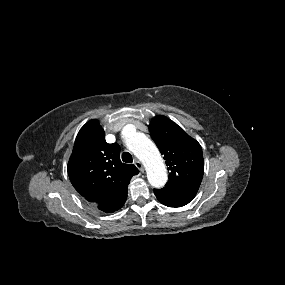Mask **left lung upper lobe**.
Here are the masks:
<instances>
[{
	"label": "left lung upper lobe",
	"instance_id": "left-lung-upper-lobe-1",
	"mask_svg": "<svg viewBox=\"0 0 285 285\" xmlns=\"http://www.w3.org/2000/svg\"><path fill=\"white\" fill-rule=\"evenodd\" d=\"M149 131L170 172L166 187L197 192L204 173L202 148L197 140L164 116L153 118Z\"/></svg>",
	"mask_w": 285,
	"mask_h": 285
}]
</instances>
